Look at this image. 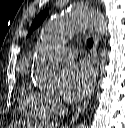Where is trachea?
Segmentation results:
<instances>
[{
  "label": "trachea",
  "mask_w": 125,
  "mask_h": 128,
  "mask_svg": "<svg viewBox=\"0 0 125 128\" xmlns=\"http://www.w3.org/2000/svg\"><path fill=\"white\" fill-rule=\"evenodd\" d=\"M93 43H94V41H93L92 38H90V39L87 40V45H88L89 48H92Z\"/></svg>",
  "instance_id": "3493384b"
}]
</instances>
